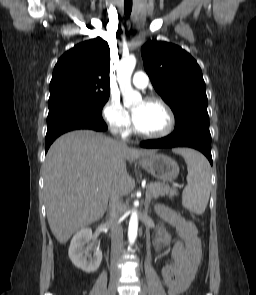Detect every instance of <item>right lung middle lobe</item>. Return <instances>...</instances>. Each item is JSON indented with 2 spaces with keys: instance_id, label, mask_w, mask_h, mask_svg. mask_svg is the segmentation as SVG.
<instances>
[{
  "instance_id": "obj_1",
  "label": "right lung middle lobe",
  "mask_w": 256,
  "mask_h": 295,
  "mask_svg": "<svg viewBox=\"0 0 256 295\" xmlns=\"http://www.w3.org/2000/svg\"><path fill=\"white\" fill-rule=\"evenodd\" d=\"M109 96H65L49 101L48 119L57 116L102 117Z\"/></svg>"
}]
</instances>
